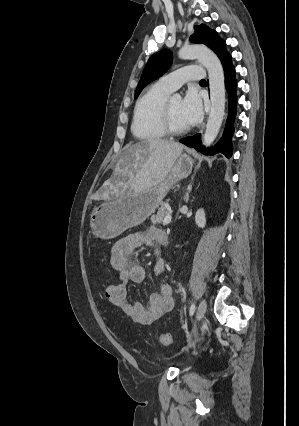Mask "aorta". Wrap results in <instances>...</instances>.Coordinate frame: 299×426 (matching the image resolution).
<instances>
[{
	"label": "aorta",
	"instance_id": "obj_1",
	"mask_svg": "<svg viewBox=\"0 0 299 426\" xmlns=\"http://www.w3.org/2000/svg\"><path fill=\"white\" fill-rule=\"evenodd\" d=\"M178 56L180 59H197L208 71L211 111L203 136V144L209 147L216 139L225 113L224 71L217 55L203 45L182 47ZM180 98L179 94L174 95Z\"/></svg>",
	"mask_w": 299,
	"mask_h": 426
}]
</instances>
